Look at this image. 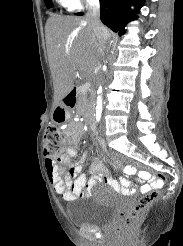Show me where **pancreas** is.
<instances>
[{"label":"pancreas","mask_w":183,"mask_h":246,"mask_svg":"<svg viewBox=\"0 0 183 246\" xmlns=\"http://www.w3.org/2000/svg\"><path fill=\"white\" fill-rule=\"evenodd\" d=\"M80 104L82 105V107L85 106V104H86V97L85 96H82Z\"/></svg>","instance_id":"pancreas-1"}]
</instances>
